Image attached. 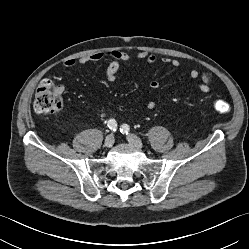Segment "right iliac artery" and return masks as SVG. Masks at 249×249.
<instances>
[{
  "label": "right iliac artery",
  "instance_id": "82829eb1",
  "mask_svg": "<svg viewBox=\"0 0 249 249\" xmlns=\"http://www.w3.org/2000/svg\"><path fill=\"white\" fill-rule=\"evenodd\" d=\"M107 126L109 129L116 131L117 129V122L114 119H110L107 121Z\"/></svg>",
  "mask_w": 249,
  "mask_h": 249
}]
</instances>
